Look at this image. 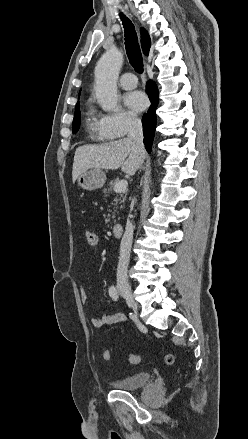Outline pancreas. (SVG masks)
Masks as SVG:
<instances>
[{"instance_id":"1","label":"pancreas","mask_w":248,"mask_h":439,"mask_svg":"<svg viewBox=\"0 0 248 439\" xmlns=\"http://www.w3.org/2000/svg\"><path fill=\"white\" fill-rule=\"evenodd\" d=\"M117 182H119V179H114V180H111L109 183H108V186H107V188H105L104 190H103V192L105 193V194H107V193H109L111 190H112V188H114V186H115V184L117 183ZM124 199V198H123ZM114 206H116V207H114V208H117V205H118V203H121V202H123L122 200H121V198H115L114 199ZM116 211V210H115ZM112 218H115V215H112ZM109 222V220L108 219H106V223H108ZM115 222V221H114ZM109 226V225H108Z\"/></svg>"}]
</instances>
